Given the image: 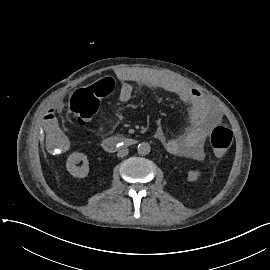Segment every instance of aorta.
Returning <instances> with one entry per match:
<instances>
[{"label": "aorta", "mask_w": 270, "mask_h": 270, "mask_svg": "<svg viewBox=\"0 0 270 270\" xmlns=\"http://www.w3.org/2000/svg\"><path fill=\"white\" fill-rule=\"evenodd\" d=\"M151 151V146L146 142H141L137 147V152L139 155L145 156Z\"/></svg>", "instance_id": "obj_1"}]
</instances>
